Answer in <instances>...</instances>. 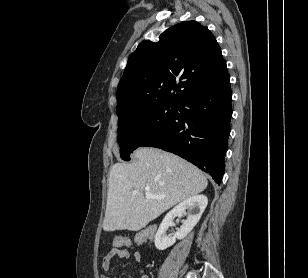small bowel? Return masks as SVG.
<instances>
[{"instance_id":"obj_1","label":"small bowel","mask_w":308,"mask_h":278,"mask_svg":"<svg viewBox=\"0 0 308 278\" xmlns=\"http://www.w3.org/2000/svg\"><path fill=\"white\" fill-rule=\"evenodd\" d=\"M131 255L134 257V259L137 262H140L141 260V254L139 251L135 250L133 252L130 251V249L128 248V246L126 248L124 247H116L113 248L111 251H109L107 253V255L104 257L103 262H102V269L104 271H108L110 269L111 266V262L114 258H118V259H128L131 257ZM141 273V277L140 278H149L148 274L143 271L140 270ZM101 278H116V277H110L108 275H102Z\"/></svg>"}]
</instances>
